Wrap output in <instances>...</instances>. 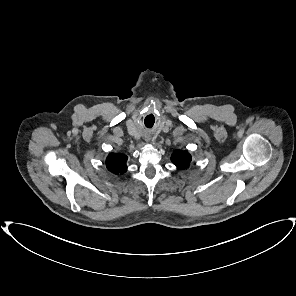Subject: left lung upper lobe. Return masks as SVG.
I'll use <instances>...</instances> for the list:
<instances>
[{
    "mask_svg": "<svg viewBox=\"0 0 296 296\" xmlns=\"http://www.w3.org/2000/svg\"><path fill=\"white\" fill-rule=\"evenodd\" d=\"M171 160L178 169H185L191 162V156L187 151L176 150L172 154Z\"/></svg>",
    "mask_w": 296,
    "mask_h": 296,
    "instance_id": "left-lung-upper-lobe-1",
    "label": "left lung upper lobe"
}]
</instances>
